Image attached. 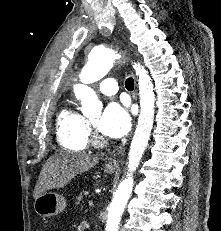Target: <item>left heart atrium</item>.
I'll return each mask as SVG.
<instances>
[{"label": "left heart atrium", "mask_w": 221, "mask_h": 231, "mask_svg": "<svg viewBox=\"0 0 221 231\" xmlns=\"http://www.w3.org/2000/svg\"><path fill=\"white\" fill-rule=\"evenodd\" d=\"M131 118L125 106L112 102L105 108L99 122V131L110 138H120L130 129Z\"/></svg>", "instance_id": "1"}]
</instances>
